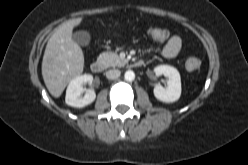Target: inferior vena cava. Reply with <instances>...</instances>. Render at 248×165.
<instances>
[{
  "instance_id": "obj_1",
  "label": "inferior vena cava",
  "mask_w": 248,
  "mask_h": 165,
  "mask_svg": "<svg viewBox=\"0 0 248 165\" xmlns=\"http://www.w3.org/2000/svg\"><path fill=\"white\" fill-rule=\"evenodd\" d=\"M120 74L121 72L118 69H112L106 72V77L110 80H114L120 77Z\"/></svg>"
}]
</instances>
